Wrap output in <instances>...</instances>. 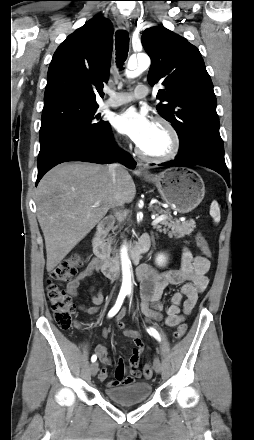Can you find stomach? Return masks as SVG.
<instances>
[{"mask_svg": "<svg viewBox=\"0 0 254 440\" xmlns=\"http://www.w3.org/2000/svg\"><path fill=\"white\" fill-rule=\"evenodd\" d=\"M144 179L154 183L165 203L182 214L194 210L205 195L204 182L192 169L170 168Z\"/></svg>", "mask_w": 254, "mask_h": 440, "instance_id": "stomach-1", "label": "stomach"}]
</instances>
